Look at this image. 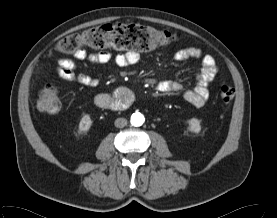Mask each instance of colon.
Here are the masks:
<instances>
[{"instance_id":"colon-1","label":"colon","mask_w":277,"mask_h":218,"mask_svg":"<svg viewBox=\"0 0 277 218\" xmlns=\"http://www.w3.org/2000/svg\"><path fill=\"white\" fill-rule=\"evenodd\" d=\"M174 40V34L149 26L109 23L66 36L58 42L55 51L61 54H75L89 47L148 52L167 46ZM218 95L223 103H229L234 98L235 89L229 84H220ZM37 107L47 114H56L60 111L61 101L55 86L47 85L42 89Z\"/></svg>"}]
</instances>
